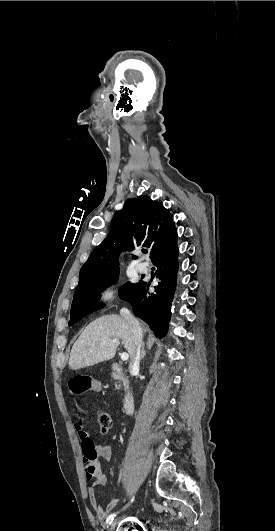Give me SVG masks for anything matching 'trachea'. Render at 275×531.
<instances>
[{
  "instance_id": "obj_1",
  "label": "trachea",
  "mask_w": 275,
  "mask_h": 531,
  "mask_svg": "<svg viewBox=\"0 0 275 531\" xmlns=\"http://www.w3.org/2000/svg\"><path fill=\"white\" fill-rule=\"evenodd\" d=\"M142 251H143V253H147V249H143Z\"/></svg>"
}]
</instances>
